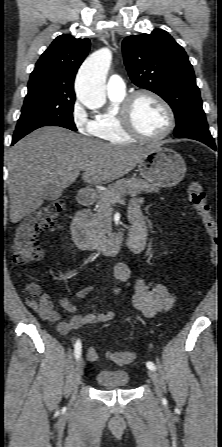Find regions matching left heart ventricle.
<instances>
[{
  "label": "left heart ventricle",
  "instance_id": "1",
  "mask_svg": "<svg viewBox=\"0 0 222 447\" xmlns=\"http://www.w3.org/2000/svg\"><path fill=\"white\" fill-rule=\"evenodd\" d=\"M132 116L136 128L147 136H158L167 126L166 112L148 96H141L136 100Z\"/></svg>",
  "mask_w": 222,
  "mask_h": 447
}]
</instances>
